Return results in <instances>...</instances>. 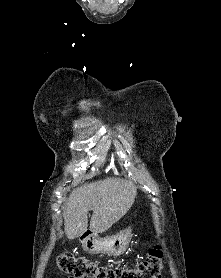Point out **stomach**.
I'll return each instance as SVG.
<instances>
[{
	"label": "stomach",
	"mask_w": 221,
	"mask_h": 278,
	"mask_svg": "<svg viewBox=\"0 0 221 278\" xmlns=\"http://www.w3.org/2000/svg\"><path fill=\"white\" fill-rule=\"evenodd\" d=\"M132 238V229L127 228L115 235L100 238L96 233L79 237L84 249L89 253L108 254L114 257L125 253Z\"/></svg>",
	"instance_id": "stomach-1"
}]
</instances>
